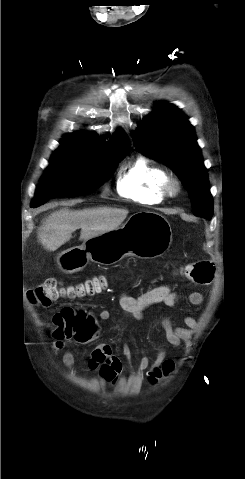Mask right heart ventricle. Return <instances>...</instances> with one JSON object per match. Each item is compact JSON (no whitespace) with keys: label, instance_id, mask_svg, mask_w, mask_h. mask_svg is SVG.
I'll list each match as a JSON object with an SVG mask.
<instances>
[{"label":"right heart ventricle","instance_id":"e07e8e85","mask_svg":"<svg viewBox=\"0 0 245 479\" xmlns=\"http://www.w3.org/2000/svg\"><path fill=\"white\" fill-rule=\"evenodd\" d=\"M167 171L143 157L126 165L117 180L118 193L141 204H158L165 198L163 184Z\"/></svg>","mask_w":245,"mask_h":479}]
</instances>
